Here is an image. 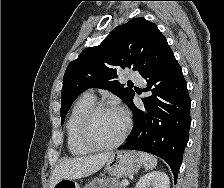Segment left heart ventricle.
I'll return each instance as SVG.
<instances>
[{
	"label": "left heart ventricle",
	"mask_w": 224,
	"mask_h": 188,
	"mask_svg": "<svg viewBox=\"0 0 224 188\" xmlns=\"http://www.w3.org/2000/svg\"><path fill=\"white\" fill-rule=\"evenodd\" d=\"M125 119L122 113L114 110L100 112L91 127L93 138L99 143H111L122 133Z\"/></svg>",
	"instance_id": "left-heart-ventricle-1"
}]
</instances>
